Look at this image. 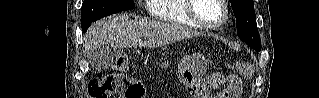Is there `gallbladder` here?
Segmentation results:
<instances>
[{
	"mask_svg": "<svg viewBox=\"0 0 319 98\" xmlns=\"http://www.w3.org/2000/svg\"><path fill=\"white\" fill-rule=\"evenodd\" d=\"M113 59L114 53L111 48L101 46L92 52L90 62L94 68L104 70L113 64Z\"/></svg>",
	"mask_w": 319,
	"mask_h": 98,
	"instance_id": "gallbladder-1",
	"label": "gallbladder"
}]
</instances>
